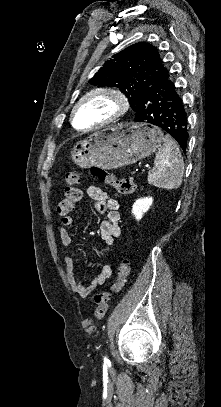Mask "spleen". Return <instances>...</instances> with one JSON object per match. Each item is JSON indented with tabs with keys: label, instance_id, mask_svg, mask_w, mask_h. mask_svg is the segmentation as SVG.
I'll return each mask as SVG.
<instances>
[{
	"label": "spleen",
	"instance_id": "3e777b00",
	"mask_svg": "<svg viewBox=\"0 0 221 407\" xmlns=\"http://www.w3.org/2000/svg\"><path fill=\"white\" fill-rule=\"evenodd\" d=\"M163 145L155 156V167L148 174V183L167 190L177 189L184 174V160L176 142L169 136L163 137Z\"/></svg>",
	"mask_w": 221,
	"mask_h": 407
}]
</instances>
